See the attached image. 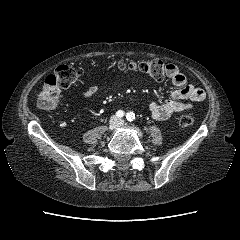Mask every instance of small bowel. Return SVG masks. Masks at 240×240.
I'll use <instances>...</instances> for the list:
<instances>
[{
  "mask_svg": "<svg viewBox=\"0 0 240 240\" xmlns=\"http://www.w3.org/2000/svg\"><path fill=\"white\" fill-rule=\"evenodd\" d=\"M167 76L172 84L177 87L171 93V98L164 102H152L149 110L154 119L166 120L173 114L191 109L195 103L201 102L205 98L203 89L187 83L186 76L179 71L177 66L167 64ZM100 89V86L94 85L82 92L81 96L89 99Z\"/></svg>",
  "mask_w": 240,
  "mask_h": 240,
  "instance_id": "c3829d8e",
  "label": "small bowel"
}]
</instances>
